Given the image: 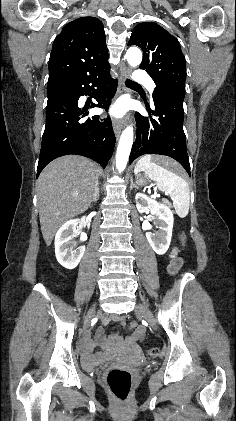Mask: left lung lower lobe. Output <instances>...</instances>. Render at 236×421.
Masks as SVG:
<instances>
[{
	"mask_svg": "<svg viewBox=\"0 0 236 421\" xmlns=\"http://www.w3.org/2000/svg\"><path fill=\"white\" fill-rule=\"evenodd\" d=\"M183 100L184 95L173 90H164L154 97V110L145 102L149 117L136 114L138 131L131 149L130 164L144 154L166 155L177 160L190 175L183 130Z\"/></svg>",
	"mask_w": 236,
	"mask_h": 421,
	"instance_id": "0a47b994",
	"label": "left lung lower lobe"
}]
</instances>
